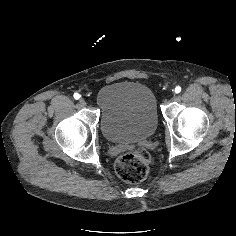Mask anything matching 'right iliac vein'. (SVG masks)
<instances>
[{
    "instance_id": "obj_1",
    "label": "right iliac vein",
    "mask_w": 236,
    "mask_h": 236,
    "mask_svg": "<svg viewBox=\"0 0 236 236\" xmlns=\"http://www.w3.org/2000/svg\"><path fill=\"white\" fill-rule=\"evenodd\" d=\"M79 102H80V104L83 105V106L86 104L84 98H80V99H79Z\"/></svg>"
}]
</instances>
